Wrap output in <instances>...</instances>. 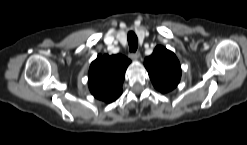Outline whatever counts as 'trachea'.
Returning <instances> with one entry per match:
<instances>
[{"label":"trachea","instance_id":"obj_1","mask_svg":"<svg viewBox=\"0 0 247 145\" xmlns=\"http://www.w3.org/2000/svg\"><path fill=\"white\" fill-rule=\"evenodd\" d=\"M128 44L130 52H136L138 47V39L136 34L133 31H129L127 35Z\"/></svg>","mask_w":247,"mask_h":145}]
</instances>
